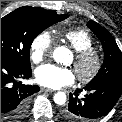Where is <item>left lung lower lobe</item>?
<instances>
[{
    "mask_svg": "<svg viewBox=\"0 0 122 122\" xmlns=\"http://www.w3.org/2000/svg\"><path fill=\"white\" fill-rule=\"evenodd\" d=\"M84 89L88 93L83 98L78 97L82 90L69 95V104L63 111V116L72 122H91L107 115L122 93V83L86 85Z\"/></svg>",
    "mask_w": 122,
    "mask_h": 122,
    "instance_id": "obj_1",
    "label": "left lung lower lobe"
}]
</instances>
